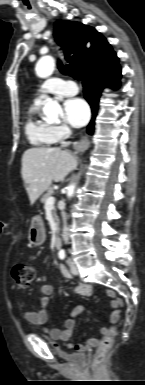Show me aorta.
Segmentation results:
<instances>
[{
    "instance_id": "1",
    "label": "aorta",
    "mask_w": 145,
    "mask_h": 385,
    "mask_svg": "<svg viewBox=\"0 0 145 385\" xmlns=\"http://www.w3.org/2000/svg\"><path fill=\"white\" fill-rule=\"evenodd\" d=\"M54 67H55L54 59L50 56H46V57H42L37 62L35 71L38 77L47 78L53 73ZM43 113L48 119L55 120L58 117V115L62 113V108L57 101L47 97L45 99ZM66 190H67L68 198H71L74 194L75 184H70L69 186H67Z\"/></svg>"
}]
</instances>
